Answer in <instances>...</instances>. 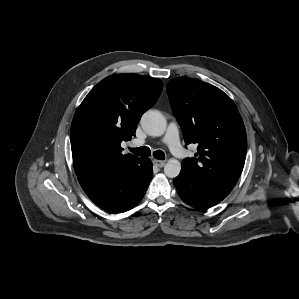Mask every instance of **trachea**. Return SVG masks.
Masks as SVG:
<instances>
[{"mask_svg": "<svg viewBox=\"0 0 299 299\" xmlns=\"http://www.w3.org/2000/svg\"><path fill=\"white\" fill-rule=\"evenodd\" d=\"M129 150L138 156H150L151 155L150 149L146 146H142V147H138V148H129ZM153 157L158 160H164L165 154L161 150H156L153 152Z\"/></svg>", "mask_w": 299, "mask_h": 299, "instance_id": "obj_1", "label": "trachea"}]
</instances>
